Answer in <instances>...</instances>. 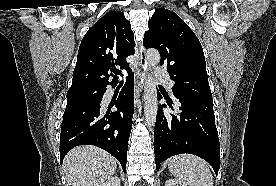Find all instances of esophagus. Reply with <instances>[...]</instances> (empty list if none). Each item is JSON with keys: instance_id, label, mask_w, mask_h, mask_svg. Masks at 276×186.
Returning <instances> with one entry per match:
<instances>
[{"instance_id": "34e87169", "label": "esophagus", "mask_w": 276, "mask_h": 186, "mask_svg": "<svg viewBox=\"0 0 276 186\" xmlns=\"http://www.w3.org/2000/svg\"><path fill=\"white\" fill-rule=\"evenodd\" d=\"M139 62L138 68L135 73V95H134V106L136 107L139 103V92L142 91L143 85L146 79V73L148 70V63L145 55V50L142 44L138 48Z\"/></svg>"}]
</instances>
